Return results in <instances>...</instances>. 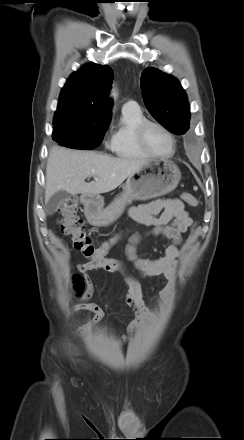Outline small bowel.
<instances>
[{"mask_svg": "<svg viewBox=\"0 0 244 440\" xmlns=\"http://www.w3.org/2000/svg\"><path fill=\"white\" fill-rule=\"evenodd\" d=\"M129 214L135 221L151 227L146 233L147 235H162L172 240V244L166 249L164 255L153 260L142 259L137 256L136 246L141 239L139 234L131 236L126 246L127 258L133 262L142 276H163L167 280V285L160 291L159 296L163 301L170 303L175 286L177 259L180 254L178 246L182 241V234L192 225L193 220L179 199H158L147 204L134 206L130 208ZM158 214L159 217H156ZM79 270L83 273L88 286L87 295H90L93 290V281L89 272L97 270V268L90 262H85L79 265ZM115 271L123 272L120 263L115 269L109 270V272ZM125 281L128 288L125 302L134 310L135 318L128 324L126 334L119 339V344L126 343L144 319L154 318L153 313L145 305L138 279L126 275ZM73 309L75 311L86 310L94 314L92 321L80 328V334H83L90 325L99 322L105 315L104 311L94 303H78Z\"/></svg>", "mask_w": 244, "mask_h": 440, "instance_id": "small-bowel-1", "label": "small bowel"}]
</instances>
